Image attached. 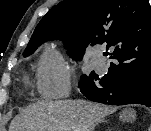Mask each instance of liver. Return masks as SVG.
<instances>
[{
	"label": "liver",
	"instance_id": "1",
	"mask_svg": "<svg viewBox=\"0 0 151 131\" xmlns=\"http://www.w3.org/2000/svg\"><path fill=\"white\" fill-rule=\"evenodd\" d=\"M114 108L85 100L40 101L15 117L9 131H94L96 124ZM136 113H123L122 120H135Z\"/></svg>",
	"mask_w": 151,
	"mask_h": 131
}]
</instances>
